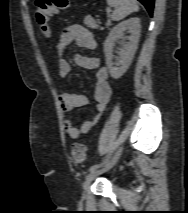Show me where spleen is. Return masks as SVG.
<instances>
[{"mask_svg":"<svg viewBox=\"0 0 188 213\" xmlns=\"http://www.w3.org/2000/svg\"><path fill=\"white\" fill-rule=\"evenodd\" d=\"M107 3L115 8L111 15V19L114 21H119L139 10L136 0H107Z\"/></svg>","mask_w":188,"mask_h":213,"instance_id":"obj_1","label":"spleen"}]
</instances>
